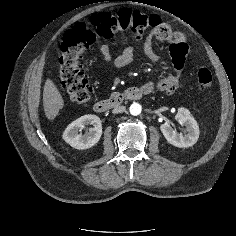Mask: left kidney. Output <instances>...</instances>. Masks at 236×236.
Listing matches in <instances>:
<instances>
[{
  "label": "left kidney",
  "mask_w": 236,
  "mask_h": 236,
  "mask_svg": "<svg viewBox=\"0 0 236 236\" xmlns=\"http://www.w3.org/2000/svg\"><path fill=\"white\" fill-rule=\"evenodd\" d=\"M175 119L186 127L187 133L185 135L177 133L171 127L170 122H165L160 126L164 137L170 144L176 147L187 148L193 146L199 138V127L196 120L186 108H179Z\"/></svg>",
  "instance_id": "5707ae66"
}]
</instances>
